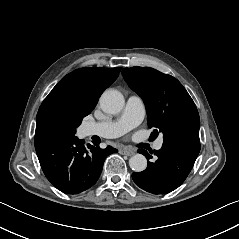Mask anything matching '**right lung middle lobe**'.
Listing matches in <instances>:
<instances>
[{
  "mask_svg": "<svg viewBox=\"0 0 239 239\" xmlns=\"http://www.w3.org/2000/svg\"><path fill=\"white\" fill-rule=\"evenodd\" d=\"M91 111L66 96L55 95L41 104L37 113L36 129L54 127L75 134L82 119Z\"/></svg>",
  "mask_w": 239,
  "mask_h": 239,
  "instance_id": "1",
  "label": "right lung middle lobe"
}]
</instances>
